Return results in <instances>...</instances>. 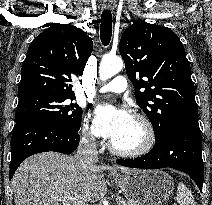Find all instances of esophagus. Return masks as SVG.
I'll list each match as a JSON object with an SVG mask.
<instances>
[{
	"mask_svg": "<svg viewBox=\"0 0 212 205\" xmlns=\"http://www.w3.org/2000/svg\"><path fill=\"white\" fill-rule=\"evenodd\" d=\"M103 7H104L105 9H110V8H111V4H109V3H104V4H103Z\"/></svg>",
	"mask_w": 212,
	"mask_h": 205,
	"instance_id": "1",
	"label": "esophagus"
}]
</instances>
